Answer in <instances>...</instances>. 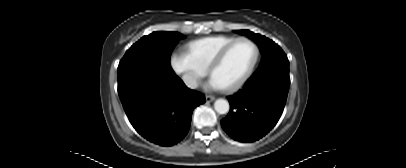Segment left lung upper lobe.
I'll use <instances>...</instances> for the list:
<instances>
[{"label": "left lung upper lobe", "mask_w": 406, "mask_h": 168, "mask_svg": "<svg viewBox=\"0 0 406 168\" xmlns=\"http://www.w3.org/2000/svg\"><path fill=\"white\" fill-rule=\"evenodd\" d=\"M241 32L254 40L262 52V60L252 77L265 73L289 77V61L280 46L272 40L249 30H242Z\"/></svg>", "instance_id": "obj_1"}]
</instances>
